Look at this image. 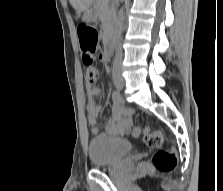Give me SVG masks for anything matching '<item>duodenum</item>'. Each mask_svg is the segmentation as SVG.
Listing matches in <instances>:
<instances>
[{
	"label": "duodenum",
	"mask_w": 223,
	"mask_h": 191,
	"mask_svg": "<svg viewBox=\"0 0 223 191\" xmlns=\"http://www.w3.org/2000/svg\"><path fill=\"white\" fill-rule=\"evenodd\" d=\"M87 12L92 14L94 12V9L93 7L91 6H88L87 7ZM111 38L109 36H106L105 37V40H104V54L105 56L108 58L109 55L111 54Z\"/></svg>",
	"instance_id": "1"
}]
</instances>
